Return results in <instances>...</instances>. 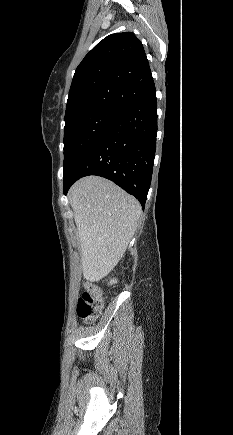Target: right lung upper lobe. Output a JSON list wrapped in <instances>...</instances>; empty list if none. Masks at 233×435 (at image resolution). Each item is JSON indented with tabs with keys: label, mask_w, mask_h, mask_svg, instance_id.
Listing matches in <instances>:
<instances>
[{
	"label": "right lung upper lobe",
	"mask_w": 233,
	"mask_h": 435,
	"mask_svg": "<svg viewBox=\"0 0 233 435\" xmlns=\"http://www.w3.org/2000/svg\"><path fill=\"white\" fill-rule=\"evenodd\" d=\"M154 84L140 40L131 32L100 41L77 67L65 120L97 109L124 110Z\"/></svg>",
	"instance_id": "1"
}]
</instances>
